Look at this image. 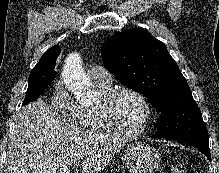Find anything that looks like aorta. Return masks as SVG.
Wrapping results in <instances>:
<instances>
[{
    "label": "aorta",
    "instance_id": "1",
    "mask_svg": "<svg viewBox=\"0 0 219 173\" xmlns=\"http://www.w3.org/2000/svg\"><path fill=\"white\" fill-rule=\"evenodd\" d=\"M64 77L68 90L76 97L80 98L92 94V85L78 57L72 56L67 60Z\"/></svg>",
    "mask_w": 219,
    "mask_h": 173
}]
</instances>
